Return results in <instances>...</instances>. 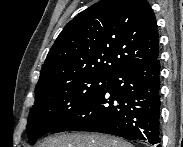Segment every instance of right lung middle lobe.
<instances>
[{
  "mask_svg": "<svg viewBox=\"0 0 183 147\" xmlns=\"http://www.w3.org/2000/svg\"><path fill=\"white\" fill-rule=\"evenodd\" d=\"M109 79L97 76L82 77L35 90V103L29 113L26 127L29 142L34 144L39 137L51 132L103 88Z\"/></svg>",
  "mask_w": 183,
  "mask_h": 147,
  "instance_id": "right-lung-middle-lobe-1",
  "label": "right lung middle lobe"
}]
</instances>
